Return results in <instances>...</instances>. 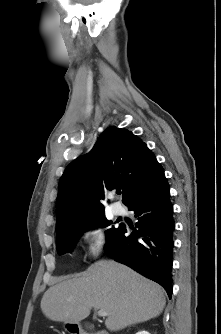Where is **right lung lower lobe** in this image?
<instances>
[{
  "mask_svg": "<svg viewBox=\"0 0 221 334\" xmlns=\"http://www.w3.org/2000/svg\"><path fill=\"white\" fill-rule=\"evenodd\" d=\"M138 218L131 235L125 225L112 244L105 249L110 258L121 262L145 277L159 283L171 298L172 250L174 246L173 205L170 189L162 175L152 186L135 197L128 205Z\"/></svg>",
  "mask_w": 221,
  "mask_h": 334,
  "instance_id": "1",
  "label": "right lung lower lobe"
}]
</instances>
